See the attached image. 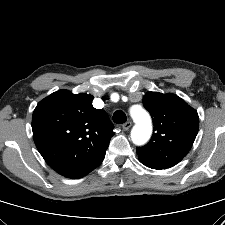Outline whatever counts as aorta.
<instances>
[{"label":"aorta","mask_w":225,"mask_h":225,"mask_svg":"<svg viewBox=\"0 0 225 225\" xmlns=\"http://www.w3.org/2000/svg\"><path fill=\"white\" fill-rule=\"evenodd\" d=\"M130 114L135 122L131 130V140L135 145H144L151 137L152 122L148 112L140 107H132Z\"/></svg>","instance_id":"obj_1"}]
</instances>
